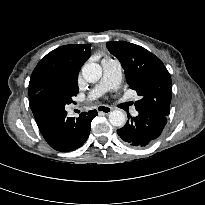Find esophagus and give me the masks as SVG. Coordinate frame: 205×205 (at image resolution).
<instances>
[{"label": "esophagus", "mask_w": 205, "mask_h": 205, "mask_svg": "<svg viewBox=\"0 0 205 205\" xmlns=\"http://www.w3.org/2000/svg\"><path fill=\"white\" fill-rule=\"evenodd\" d=\"M99 113L109 114L112 111V108L106 105H100L97 107Z\"/></svg>", "instance_id": "obj_1"}]
</instances>
